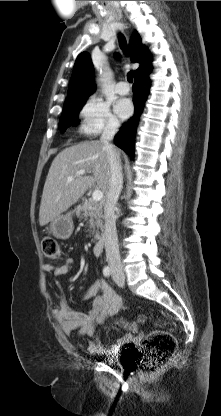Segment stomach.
I'll use <instances>...</instances> for the list:
<instances>
[{"label":"stomach","mask_w":221,"mask_h":416,"mask_svg":"<svg viewBox=\"0 0 221 416\" xmlns=\"http://www.w3.org/2000/svg\"><path fill=\"white\" fill-rule=\"evenodd\" d=\"M47 230L58 239L66 240L70 238L74 230L72 215H59L50 222Z\"/></svg>","instance_id":"0dacf381"}]
</instances>
